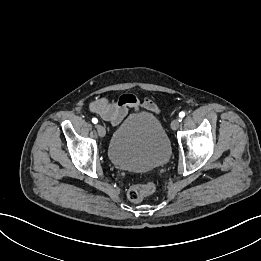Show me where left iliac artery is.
Wrapping results in <instances>:
<instances>
[{"instance_id":"44dca946","label":"left iliac artery","mask_w":261,"mask_h":261,"mask_svg":"<svg viewBox=\"0 0 261 261\" xmlns=\"http://www.w3.org/2000/svg\"><path fill=\"white\" fill-rule=\"evenodd\" d=\"M184 116H185V112L181 111V112L179 113V117H180V118H183Z\"/></svg>"}]
</instances>
